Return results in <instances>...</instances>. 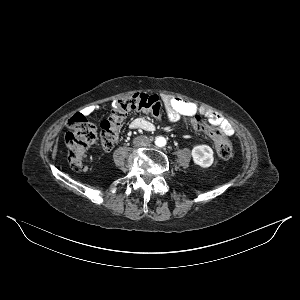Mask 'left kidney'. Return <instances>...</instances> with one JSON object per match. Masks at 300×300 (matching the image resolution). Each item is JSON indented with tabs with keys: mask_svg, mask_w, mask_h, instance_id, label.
<instances>
[{
	"mask_svg": "<svg viewBox=\"0 0 300 300\" xmlns=\"http://www.w3.org/2000/svg\"><path fill=\"white\" fill-rule=\"evenodd\" d=\"M191 154L194 163L203 168H208L213 164V150L208 145L202 144L195 146Z\"/></svg>",
	"mask_w": 300,
	"mask_h": 300,
	"instance_id": "obj_1",
	"label": "left kidney"
}]
</instances>
